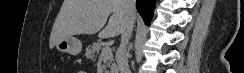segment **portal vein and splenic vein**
Here are the masks:
<instances>
[{
    "mask_svg": "<svg viewBox=\"0 0 244 73\" xmlns=\"http://www.w3.org/2000/svg\"><path fill=\"white\" fill-rule=\"evenodd\" d=\"M111 51L110 47H103L101 51V55L105 56L107 53Z\"/></svg>",
    "mask_w": 244,
    "mask_h": 73,
    "instance_id": "obj_1",
    "label": "portal vein and splenic vein"
}]
</instances>
